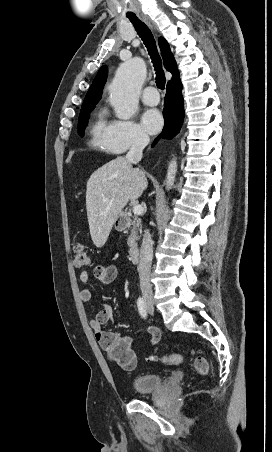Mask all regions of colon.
Here are the masks:
<instances>
[{"label": "colon", "instance_id": "obj_1", "mask_svg": "<svg viewBox=\"0 0 272 452\" xmlns=\"http://www.w3.org/2000/svg\"><path fill=\"white\" fill-rule=\"evenodd\" d=\"M92 264V257L88 249L83 244H77L73 251V265L80 269L88 267ZM109 359L124 369H132L135 367V355L129 348V343L126 339H118L108 352ZM151 361L160 362L162 364H180L182 356L180 354H169L164 356L151 355ZM194 367L198 374L206 375L210 370L208 361L202 356H196L194 359Z\"/></svg>", "mask_w": 272, "mask_h": 452}]
</instances>
